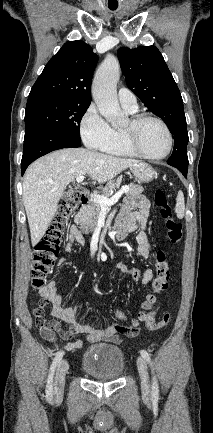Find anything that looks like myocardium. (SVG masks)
<instances>
[{"instance_id": "f54148a6", "label": "myocardium", "mask_w": 213, "mask_h": 433, "mask_svg": "<svg viewBox=\"0 0 213 433\" xmlns=\"http://www.w3.org/2000/svg\"><path fill=\"white\" fill-rule=\"evenodd\" d=\"M149 120L159 123L163 127V129L165 130V132L167 134L168 148H167L166 152L161 154V155L148 154L145 151H143L139 145L138 130L144 122L149 121ZM122 135H123V138H124V141H125L127 147L135 155L140 156L142 158H146V159H152V160L164 159L171 153V151L173 149V145H174L173 134H172L169 126L167 125V123L163 119H161L157 116L151 115V114H147V113H140V114L133 115L129 119L127 125L122 129Z\"/></svg>"}]
</instances>
